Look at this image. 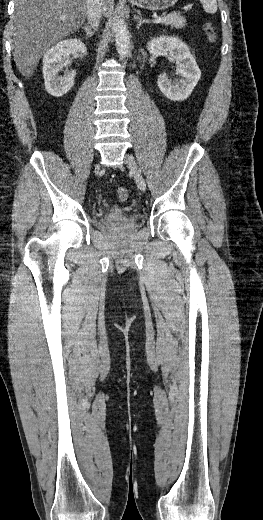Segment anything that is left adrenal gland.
Wrapping results in <instances>:
<instances>
[{
    "instance_id": "left-adrenal-gland-1",
    "label": "left adrenal gland",
    "mask_w": 263,
    "mask_h": 520,
    "mask_svg": "<svg viewBox=\"0 0 263 520\" xmlns=\"http://www.w3.org/2000/svg\"><path fill=\"white\" fill-rule=\"evenodd\" d=\"M134 19H135L136 21H138V23H137V29H139V28L141 27V25L144 24V23H148V24L150 23L149 20H147V19H143L142 16H141L140 14L137 15V16H134Z\"/></svg>"
}]
</instances>
